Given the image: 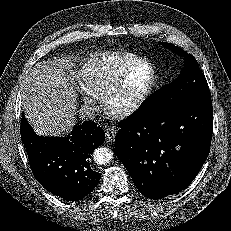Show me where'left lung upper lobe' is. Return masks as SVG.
I'll use <instances>...</instances> for the list:
<instances>
[{"label":"left lung upper lobe","mask_w":231,"mask_h":231,"mask_svg":"<svg viewBox=\"0 0 231 231\" xmlns=\"http://www.w3.org/2000/svg\"><path fill=\"white\" fill-rule=\"evenodd\" d=\"M162 44L185 57L184 67L178 78L145 101L140 108L141 112L156 115L182 103L196 99H211L208 83L196 59L173 44Z\"/></svg>","instance_id":"obj_1"}]
</instances>
